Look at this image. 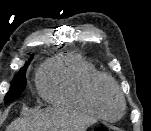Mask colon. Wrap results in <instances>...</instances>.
Segmentation results:
<instances>
[{"label": "colon", "instance_id": "5ec220e1", "mask_svg": "<svg viewBox=\"0 0 151 131\" xmlns=\"http://www.w3.org/2000/svg\"><path fill=\"white\" fill-rule=\"evenodd\" d=\"M94 131H113V129L107 126H98L94 129Z\"/></svg>", "mask_w": 151, "mask_h": 131}]
</instances>
